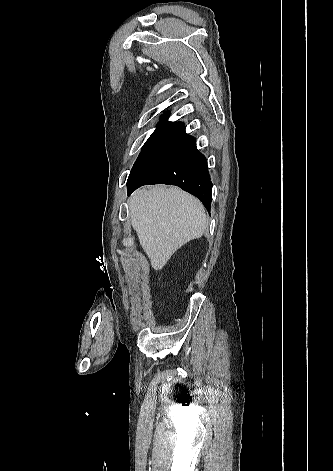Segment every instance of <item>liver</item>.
Listing matches in <instances>:
<instances>
[{
  "label": "liver",
  "mask_w": 333,
  "mask_h": 471,
  "mask_svg": "<svg viewBox=\"0 0 333 471\" xmlns=\"http://www.w3.org/2000/svg\"><path fill=\"white\" fill-rule=\"evenodd\" d=\"M131 223L155 270L207 227L201 202L177 187L138 189L129 199Z\"/></svg>",
  "instance_id": "1"
}]
</instances>
